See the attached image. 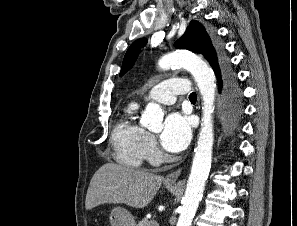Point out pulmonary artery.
<instances>
[{"label":"pulmonary artery","instance_id":"pulmonary-artery-1","mask_svg":"<svg viewBox=\"0 0 297 226\" xmlns=\"http://www.w3.org/2000/svg\"><path fill=\"white\" fill-rule=\"evenodd\" d=\"M189 82L181 78H171L154 85L145 95V100H153L158 103L170 105L175 102L177 95H188Z\"/></svg>","mask_w":297,"mask_h":226}]
</instances>
